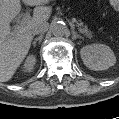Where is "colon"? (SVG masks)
Listing matches in <instances>:
<instances>
[{
  "instance_id": "1",
  "label": "colon",
  "mask_w": 119,
  "mask_h": 119,
  "mask_svg": "<svg viewBox=\"0 0 119 119\" xmlns=\"http://www.w3.org/2000/svg\"><path fill=\"white\" fill-rule=\"evenodd\" d=\"M110 5L115 9L118 10L119 2L117 0H110Z\"/></svg>"
}]
</instances>
